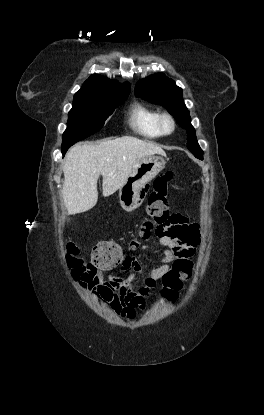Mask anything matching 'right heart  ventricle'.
I'll return each instance as SVG.
<instances>
[{
    "label": "right heart ventricle",
    "mask_w": 264,
    "mask_h": 415,
    "mask_svg": "<svg viewBox=\"0 0 264 415\" xmlns=\"http://www.w3.org/2000/svg\"><path fill=\"white\" fill-rule=\"evenodd\" d=\"M158 116L159 112L152 107L136 103L129 111L128 124L138 136L156 139L162 136L157 125Z\"/></svg>",
    "instance_id": "right-heart-ventricle-1"
}]
</instances>
